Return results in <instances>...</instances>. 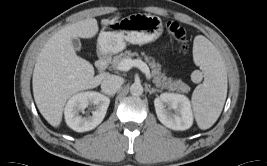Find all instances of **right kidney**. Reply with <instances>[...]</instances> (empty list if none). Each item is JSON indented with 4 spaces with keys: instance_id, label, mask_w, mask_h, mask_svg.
I'll return each instance as SVG.
<instances>
[{
    "instance_id": "ca27d5eb",
    "label": "right kidney",
    "mask_w": 267,
    "mask_h": 166,
    "mask_svg": "<svg viewBox=\"0 0 267 166\" xmlns=\"http://www.w3.org/2000/svg\"><path fill=\"white\" fill-rule=\"evenodd\" d=\"M110 99L98 92H82L69 99L65 107V120L67 125L77 132L90 131L96 128L104 119ZM95 105L96 110L92 116L79 115L88 105Z\"/></svg>"
}]
</instances>
